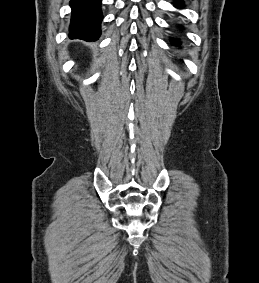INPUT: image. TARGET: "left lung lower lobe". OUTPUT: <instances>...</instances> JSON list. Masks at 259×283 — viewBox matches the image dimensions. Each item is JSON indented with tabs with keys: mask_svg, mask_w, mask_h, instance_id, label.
<instances>
[{
	"mask_svg": "<svg viewBox=\"0 0 259 283\" xmlns=\"http://www.w3.org/2000/svg\"><path fill=\"white\" fill-rule=\"evenodd\" d=\"M175 6L178 8H182L183 4L181 0H177L174 2ZM173 45L178 46L180 45V42L177 39H172Z\"/></svg>",
	"mask_w": 259,
	"mask_h": 283,
	"instance_id": "0a47b994",
	"label": "left lung lower lobe"
}]
</instances>
